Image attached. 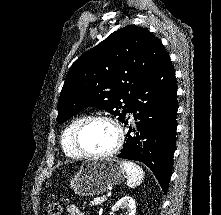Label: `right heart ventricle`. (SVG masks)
Instances as JSON below:
<instances>
[{"instance_id": "e07e8e85", "label": "right heart ventricle", "mask_w": 221, "mask_h": 215, "mask_svg": "<svg viewBox=\"0 0 221 215\" xmlns=\"http://www.w3.org/2000/svg\"><path fill=\"white\" fill-rule=\"evenodd\" d=\"M86 118V115H79L73 118L63 130L61 144L64 153L68 157L79 158L82 156L75 147L74 136L77 128Z\"/></svg>"}]
</instances>
